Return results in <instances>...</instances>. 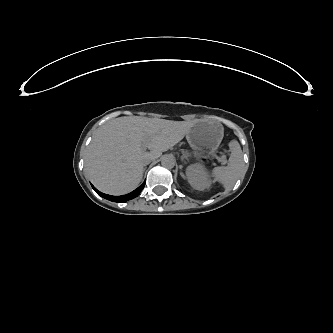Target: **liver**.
I'll list each match as a JSON object with an SVG mask.
<instances>
[{
	"instance_id": "6515ba94",
	"label": "liver",
	"mask_w": 333,
	"mask_h": 333,
	"mask_svg": "<svg viewBox=\"0 0 333 333\" xmlns=\"http://www.w3.org/2000/svg\"><path fill=\"white\" fill-rule=\"evenodd\" d=\"M161 128L160 122L145 119L141 132L146 135L94 138L85 159V169L94 186L108 194H125L138 187L144 172L143 160L158 158L184 137L162 133Z\"/></svg>"
}]
</instances>
